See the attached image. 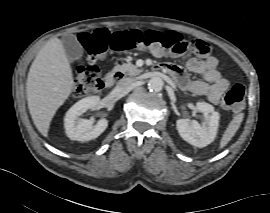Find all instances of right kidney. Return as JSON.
I'll return each mask as SVG.
<instances>
[{
    "mask_svg": "<svg viewBox=\"0 0 270 213\" xmlns=\"http://www.w3.org/2000/svg\"><path fill=\"white\" fill-rule=\"evenodd\" d=\"M98 96H90L81 99L75 103L66 113L64 118V127L66 135L71 140L89 141L100 136L108 126L106 119L100 120L93 125L92 119L80 118L87 110H93L99 103Z\"/></svg>",
    "mask_w": 270,
    "mask_h": 213,
    "instance_id": "obj_1",
    "label": "right kidney"
}]
</instances>
